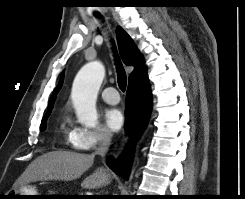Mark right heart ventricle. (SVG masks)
<instances>
[{"label": "right heart ventricle", "instance_id": "obj_1", "mask_svg": "<svg viewBox=\"0 0 245 199\" xmlns=\"http://www.w3.org/2000/svg\"><path fill=\"white\" fill-rule=\"evenodd\" d=\"M60 129L63 133H65L68 141L71 143L74 127L72 125V122H71L69 116L64 115L62 117L61 122H60Z\"/></svg>", "mask_w": 245, "mask_h": 199}]
</instances>
